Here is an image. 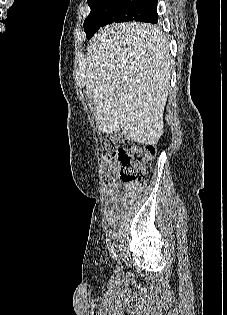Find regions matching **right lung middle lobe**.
Segmentation results:
<instances>
[{
    "instance_id": "1",
    "label": "right lung middle lobe",
    "mask_w": 227,
    "mask_h": 315,
    "mask_svg": "<svg viewBox=\"0 0 227 315\" xmlns=\"http://www.w3.org/2000/svg\"><path fill=\"white\" fill-rule=\"evenodd\" d=\"M158 0H96L88 2L91 12L84 21L90 39L96 31L113 22L141 21L156 23Z\"/></svg>"
}]
</instances>
